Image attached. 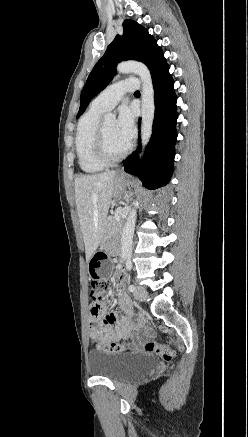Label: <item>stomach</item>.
<instances>
[{
    "label": "stomach",
    "instance_id": "1",
    "mask_svg": "<svg viewBox=\"0 0 248 437\" xmlns=\"http://www.w3.org/2000/svg\"><path fill=\"white\" fill-rule=\"evenodd\" d=\"M129 185V179L117 175L115 177V193H122ZM114 270V263L105 250H96L95 255L89 261L90 279H109V271Z\"/></svg>",
    "mask_w": 248,
    "mask_h": 437
}]
</instances>
